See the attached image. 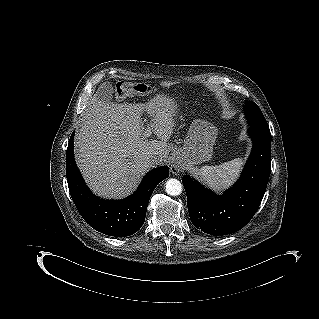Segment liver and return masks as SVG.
I'll list each match as a JSON object with an SVG mask.
<instances>
[{"label":"liver","instance_id":"1","mask_svg":"<svg viewBox=\"0 0 319 319\" xmlns=\"http://www.w3.org/2000/svg\"><path fill=\"white\" fill-rule=\"evenodd\" d=\"M176 109V102L164 94L150 100L146 110L158 140H148L142 104L113 103L97 92L82 114L74 140L76 162L89 187L106 198L132 193L153 167L148 162L151 156L167 161Z\"/></svg>","mask_w":319,"mask_h":319}]
</instances>
